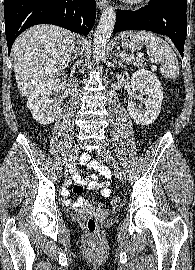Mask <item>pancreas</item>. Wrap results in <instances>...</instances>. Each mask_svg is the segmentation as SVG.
I'll list each match as a JSON object with an SVG mask.
<instances>
[{
  "mask_svg": "<svg viewBox=\"0 0 195 270\" xmlns=\"http://www.w3.org/2000/svg\"><path fill=\"white\" fill-rule=\"evenodd\" d=\"M121 60L127 64H133L138 67L143 66V61L139 57H135L134 55L125 54L124 58H121Z\"/></svg>",
  "mask_w": 195,
  "mask_h": 270,
  "instance_id": "pancreas-1",
  "label": "pancreas"
}]
</instances>
